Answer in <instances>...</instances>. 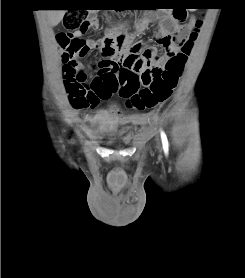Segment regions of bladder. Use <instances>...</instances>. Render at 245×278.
I'll list each match as a JSON object with an SVG mask.
<instances>
[{"label": "bladder", "instance_id": "1", "mask_svg": "<svg viewBox=\"0 0 245 278\" xmlns=\"http://www.w3.org/2000/svg\"><path fill=\"white\" fill-rule=\"evenodd\" d=\"M120 108L115 106L114 111L111 114V117H115L118 115ZM126 131L123 130H114L110 131L106 134L105 142L109 144H121L126 145L129 144L132 139L129 136H126V138L122 139L121 137L125 136Z\"/></svg>", "mask_w": 245, "mask_h": 278}]
</instances>
